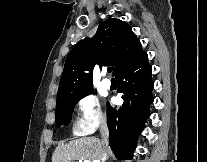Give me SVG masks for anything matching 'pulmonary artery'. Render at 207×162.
<instances>
[{
  "label": "pulmonary artery",
  "instance_id": "pulmonary-artery-1",
  "mask_svg": "<svg viewBox=\"0 0 207 162\" xmlns=\"http://www.w3.org/2000/svg\"><path fill=\"white\" fill-rule=\"evenodd\" d=\"M105 74V73H104ZM102 86L105 88V89H110L111 88V81L109 79H104L102 81Z\"/></svg>",
  "mask_w": 207,
  "mask_h": 162
}]
</instances>
